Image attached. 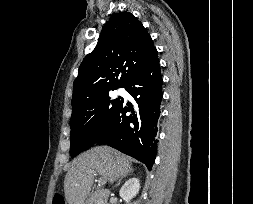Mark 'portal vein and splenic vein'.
<instances>
[{"label": "portal vein and splenic vein", "instance_id": "18ae733b", "mask_svg": "<svg viewBox=\"0 0 253 204\" xmlns=\"http://www.w3.org/2000/svg\"><path fill=\"white\" fill-rule=\"evenodd\" d=\"M92 174H93L94 176H97V174H96L95 172H92ZM103 184H105V181H103L102 179H99V180H98V185H103Z\"/></svg>", "mask_w": 253, "mask_h": 204}]
</instances>
